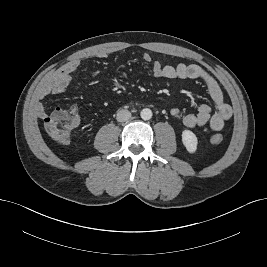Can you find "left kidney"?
Returning a JSON list of instances; mask_svg holds the SVG:
<instances>
[{
	"label": "left kidney",
	"mask_w": 267,
	"mask_h": 267,
	"mask_svg": "<svg viewBox=\"0 0 267 267\" xmlns=\"http://www.w3.org/2000/svg\"><path fill=\"white\" fill-rule=\"evenodd\" d=\"M182 142L189 153L196 152L198 140L192 131L184 130L182 132Z\"/></svg>",
	"instance_id": "left-kidney-1"
}]
</instances>
